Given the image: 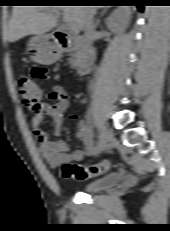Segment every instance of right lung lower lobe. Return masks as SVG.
I'll list each match as a JSON object with an SVG mask.
<instances>
[{
    "label": "right lung lower lobe",
    "mask_w": 170,
    "mask_h": 231,
    "mask_svg": "<svg viewBox=\"0 0 170 231\" xmlns=\"http://www.w3.org/2000/svg\"><path fill=\"white\" fill-rule=\"evenodd\" d=\"M136 6L138 7V9H139L140 11L143 10V6H142V5H136Z\"/></svg>",
    "instance_id": "1"
}]
</instances>
